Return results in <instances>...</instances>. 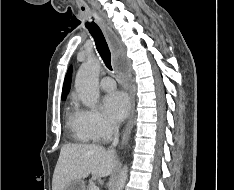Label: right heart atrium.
I'll use <instances>...</instances> for the list:
<instances>
[{
	"label": "right heart atrium",
	"instance_id": "d8ad5b80",
	"mask_svg": "<svg viewBox=\"0 0 234 190\" xmlns=\"http://www.w3.org/2000/svg\"><path fill=\"white\" fill-rule=\"evenodd\" d=\"M79 121L95 141L106 140L116 130V126L96 109H79Z\"/></svg>",
	"mask_w": 234,
	"mask_h": 190
}]
</instances>
